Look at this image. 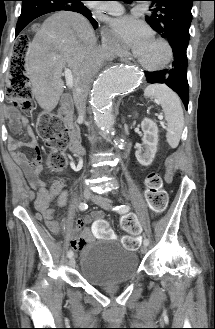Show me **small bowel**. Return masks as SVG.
<instances>
[{
    "label": "small bowel",
    "instance_id": "1",
    "mask_svg": "<svg viewBox=\"0 0 215 329\" xmlns=\"http://www.w3.org/2000/svg\"><path fill=\"white\" fill-rule=\"evenodd\" d=\"M10 120L16 131L26 129L29 134L32 133L25 118L20 116L17 112H12ZM8 146L12 151L15 161L23 170L31 188L35 191L34 206L36 210L40 213V216L45 220L47 226L52 231H58L60 223L54 219V210L49 206V203L55 195H58V204L60 206H64L68 202L69 192L62 190L64 186L63 181L56 180L48 186L41 178V157L34 139L21 141L10 138ZM22 147L35 149L37 155L33 158H28L22 151H20V148ZM92 217L96 220H89L88 218L78 219L76 221L75 229H71L67 222L64 223L65 227L72 233L71 246L77 251H81L92 239V236H96L97 242H108L110 240L109 236H114V225H108L107 220H103L104 214L102 212H94ZM87 222L90 230L85 227ZM77 232H80V234H76ZM139 239L141 240V237H139Z\"/></svg>",
    "mask_w": 215,
    "mask_h": 329
}]
</instances>
